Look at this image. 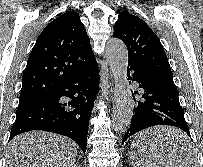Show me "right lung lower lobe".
I'll return each instance as SVG.
<instances>
[{
  "label": "right lung lower lobe",
  "instance_id": "obj_1",
  "mask_svg": "<svg viewBox=\"0 0 203 167\" xmlns=\"http://www.w3.org/2000/svg\"><path fill=\"white\" fill-rule=\"evenodd\" d=\"M98 80L95 60L69 77L48 99L19 107L9 140L23 132L44 130L71 138L85 153L89 117L99 90ZM64 96L71 101L63 102Z\"/></svg>",
  "mask_w": 203,
  "mask_h": 167
}]
</instances>
